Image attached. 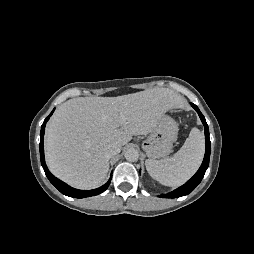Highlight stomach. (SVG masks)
<instances>
[{"label":"stomach","instance_id":"1","mask_svg":"<svg viewBox=\"0 0 254 254\" xmlns=\"http://www.w3.org/2000/svg\"><path fill=\"white\" fill-rule=\"evenodd\" d=\"M178 125L173 118L164 114L158 124L143 142L142 148L149 159L163 158L172 151L173 142L177 138Z\"/></svg>","mask_w":254,"mask_h":254}]
</instances>
